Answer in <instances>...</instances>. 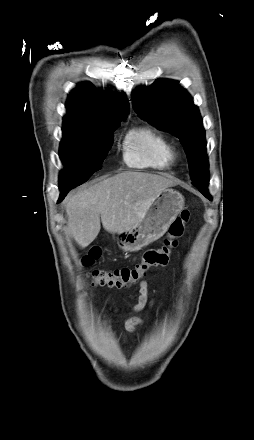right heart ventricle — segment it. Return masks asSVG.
<instances>
[{
  "mask_svg": "<svg viewBox=\"0 0 254 440\" xmlns=\"http://www.w3.org/2000/svg\"><path fill=\"white\" fill-rule=\"evenodd\" d=\"M124 162L132 168L168 169L175 160L172 142L150 126L131 129L123 141Z\"/></svg>",
  "mask_w": 254,
  "mask_h": 440,
  "instance_id": "obj_1",
  "label": "right heart ventricle"
}]
</instances>
